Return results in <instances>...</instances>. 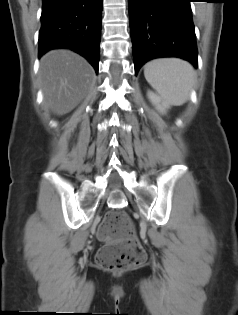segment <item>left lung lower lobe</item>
Listing matches in <instances>:
<instances>
[{
  "instance_id": "obj_1",
  "label": "left lung lower lobe",
  "mask_w": 238,
  "mask_h": 315,
  "mask_svg": "<svg viewBox=\"0 0 238 315\" xmlns=\"http://www.w3.org/2000/svg\"><path fill=\"white\" fill-rule=\"evenodd\" d=\"M191 0H128L135 75L147 61L179 57L197 67Z\"/></svg>"
}]
</instances>
